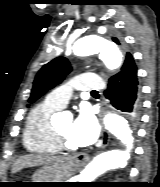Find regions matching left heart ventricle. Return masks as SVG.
<instances>
[{
    "label": "left heart ventricle",
    "mask_w": 160,
    "mask_h": 187,
    "mask_svg": "<svg viewBox=\"0 0 160 187\" xmlns=\"http://www.w3.org/2000/svg\"><path fill=\"white\" fill-rule=\"evenodd\" d=\"M57 128L60 132L66 137V139L70 142V144L74 147H78V145L72 139V122L71 120H65L58 123Z\"/></svg>",
    "instance_id": "obj_1"
}]
</instances>
